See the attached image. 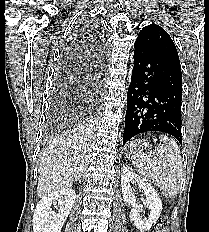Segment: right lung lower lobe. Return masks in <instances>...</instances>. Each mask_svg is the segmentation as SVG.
<instances>
[{
  "label": "right lung lower lobe",
  "mask_w": 209,
  "mask_h": 232,
  "mask_svg": "<svg viewBox=\"0 0 209 232\" xmlns=\"http://www.w3.org/2000/svg\"><path fill=\"white\" fill-rule=\"evenodd\" d=\"M99 70H101V68L97 67V72H99Z\"/></svg>",
  "instance_id": "98d812e1"
}]
</instances>
